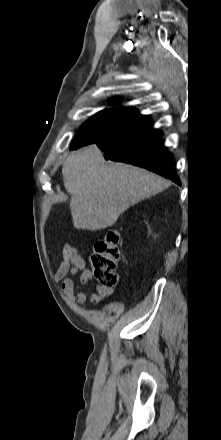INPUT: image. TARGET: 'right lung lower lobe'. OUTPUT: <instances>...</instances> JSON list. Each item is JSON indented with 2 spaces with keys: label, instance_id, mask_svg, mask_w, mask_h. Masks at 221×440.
Instances as JSON below:
<instances>
[{
  "label": "right lung lower lobe",
  "instance_id": "right-lung-lower-lobe-1",
  "mask_svg": "<svg viewBox=\"0 0 221 440\" xmlns=\"http://www.w3.org/2000/svg\"><path fill=\"white\" fill-rule=\"evenodd\" d=\"M163 133L152 128V121L134 114L110 134L95 142L107 160L146 168L181 185L174 170L172 153L157 141Z\"/></svg>",
  "mask_w": 221,
  "mask_h": 440
}]
</instances>
